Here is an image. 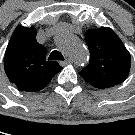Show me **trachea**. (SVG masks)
I'll list each match as a JSON object with an SVG mask.
<instances>
[{
  "label": "trachea",
  "instance_id": "1",
  "mask_svg": "<svg viewBox=\"0 0 135 135\" xmlns=\"http://www.w3.org/2000/svg\"><path fill=\"white\" fill-rule=\"evenodd\" d=\"M48 60H61V61H63L64 57L61 54V52L55 50L50 54V56L48 57Z\"/></svg>",
  "mask_w": 135,
  "mask_h": 135
}]
</instances>
